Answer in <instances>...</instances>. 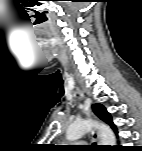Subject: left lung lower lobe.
Instances as JSON below:
<instances>
[{"label": "left lung lower lobe", "mask_w": 142, "mask_h": 151, "mask_svg": "<svg viewBox=\"0 0 142 151\" xmlns=\"http://www.w3.org/2000/svg\"><path fill=\"white\" fill-rule=\"evenodd\" d=\"M117 148H122V146H118Z\"/></svg>", "instance_id": "1"}]
</instances>
